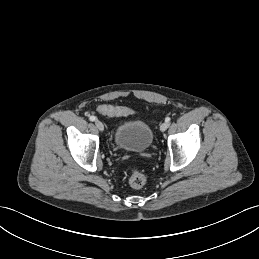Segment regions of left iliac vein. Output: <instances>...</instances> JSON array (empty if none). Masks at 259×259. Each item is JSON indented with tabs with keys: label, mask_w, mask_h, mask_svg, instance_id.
Segmentation results:
<instances>
[{
	"label": "left iliac vein",
	"mask_w": 259,
	"mask_h": 259,
	"mask_svg": "<svg viewBox=\"0 0 259 259\" xmlns=\"http://www.w3.org/2000/svg\"><path fill=\"white\" fill-rule=\"evenodd\" d=\"M168 126H169V124H168L167 122H164V123H162V124L160 125V130H161L162 132L166 131L167 128H168Z\"/></svg>",
	"instance_id": "obj_1"
}]
</instances>
